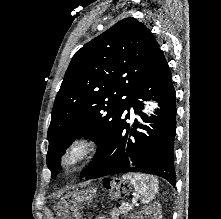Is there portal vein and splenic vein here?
Listing matches in <instances>:
<instances>
[{
	"instance_id": "1",
	"label": "portal vein and splenic vein",
	"mask_w": 221,
	"mask_h": 219,
	"mask_svg": "<svg viewBox=\"0 0 221 219\" xmlns=\"http://www.w3.org/2000/svg\"><path fill=\"white\" fill-rule=\"evenodd\" d=\"M137 201L136 200H132V204H135ZM124 206H128V204H123Z\"/></svg>"
}]
</instances>
